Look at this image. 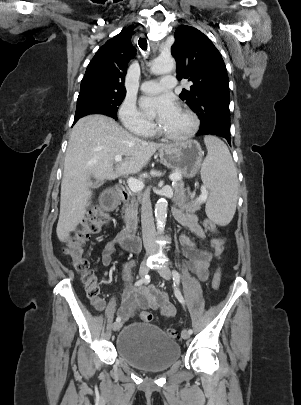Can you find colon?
<instances>
[{
    "instance_id": "obj_1",
    "label": "colon",
    "mask_w": 301,
    "mask_h": 405,
    "mask_svg": "<svg viewBox=\"0 0 301 405\" xmlns=\"http://www.w3.org/2000/svg\"><path fill=\"white\" fill-rule=\"evenodd\" d=\"M109 221L110 217L108 213H102L100 209L93 208L83 218L81 226L65 239L64 252L70 258L73 267L82 275L88 297L97 306L101 304L99 286L95 275L90 270V263L85 257L84 247L91 238L102 233ZM203 227L210 232L217 230L216 224L210 220H205ZM220 284L221 270L218 268L213 275L211 285L214 290H217ZM140 317L146 322H153L155 320L154 315L147 311H141ZM167 334L173 339L179 338V331L176 329H168Z\"/></svg>"
}]
</instances>
